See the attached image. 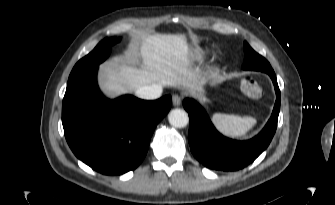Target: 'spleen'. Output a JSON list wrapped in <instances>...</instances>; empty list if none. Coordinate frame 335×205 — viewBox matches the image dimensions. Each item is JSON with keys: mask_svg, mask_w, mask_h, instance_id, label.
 I'll use <instances>...</instances> for the list:
<instances>
[{"mask_svg": "<svg viewBox=\"0 0 335 205\" xmlns=\"http://www.w3.org/2000/svg\"><path fill=\"white\" fill-rule=\"evenodd\" d=\"M212 119L221 132L230 137H244L257 122L252 117L229 114H214Z\"/></svg>", "mask_w": 335, "mask_h": 205, "instance_id": "3e777b00", "label": "spleen"}]
</instances>
